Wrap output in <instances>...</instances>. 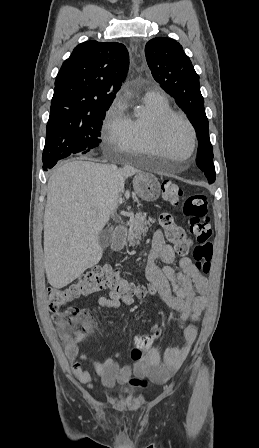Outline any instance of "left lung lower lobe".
<instances>
[{
  "label": "left lung lower lobe",
  "instance_id": "left-lung-lower-lobe-1",
  "mask_svg": "<svg viewBox=\"0 0 259 448\" xmlns=\"http://www.w3.org/2000/svg\"><path fill=\"white\" fill-rule=\"evenodd\" d=\"M198 167L205 173L208 181L213 183L215 181V167L213 164V158H205L197 161Z\"/></svg>",
  "mask_w": 259,
  "mask_h": 448
}]
</instances>
